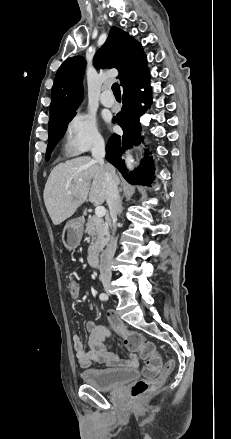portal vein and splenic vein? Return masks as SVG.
Instances as JSON below:
<instances>
[{
  "instance_id": "18ae733b",
  "label": "portal vein and splenic vein",
  "mask_w": 231,
  "mask_h": 439,
  "mask_svg": "<svg viewBox=\"0 0 231 439\" xmlns=\"http://www.w3.org/2000/svg\"><path fill=\"white\" fill-rule=\"evenodd\" d=\"M71 191H68L67 194H71ZM106 214V209L103 206H97L95 208V215L99 218L104 217Z\"/></svg>"
}]
</instances>
